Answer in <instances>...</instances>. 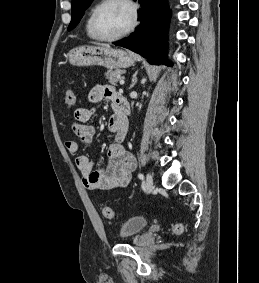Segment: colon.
<instances>
[{"label":"colon","mask_w":259,"mask_h":283,"mask_svg":"<svg viewBox=\"0 0 259 283\" xmlns=\"http://www.w3.org/2000/svg\"><path fill=\"white\" fill-rule=\"evenodd\" d=\"M65 103L67 106L69 107H73L76 103V94L75 91L72 88H67L66 92H65ZM102 213L103 216L107 219H113L114 218V213L112 211V209L108 206H105L102 208ZM183 229L181 224H176L174 226V231L179 233L181 232Z\"/></svg>","instance_id":"colon-1"}]
</instances>
